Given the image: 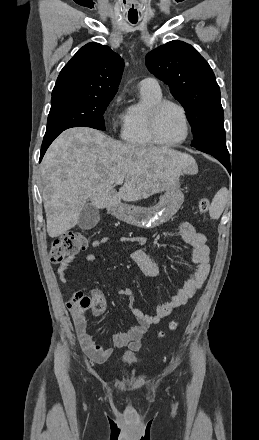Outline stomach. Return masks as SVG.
Here are the masks:
<instances>
[{"label":"stomach","mask_w":259,"mask_h":440,"mask_svg":"<svg viewBox=\"0 0 259 440\" xmlns=\"http://www.w3.org/2000/svg\"><path fill=\"white\" fill-rule=\"evenodd\" d=\"M184 195L176 184L167 189L153 207H140L120 203L111 210L117 219L142 228H156L169 221L179 210Z\"/></svg>","instance_id":"obj_1"}]
</instances>
